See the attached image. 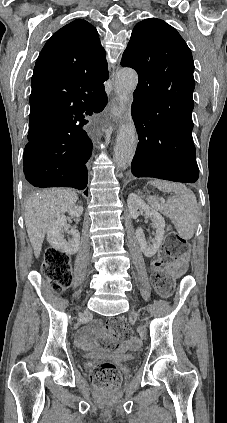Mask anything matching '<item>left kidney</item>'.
Segmentation results:
<instances>
[{
	"mask_svg": "<svg viewBox=\"0 0 227 423\" xmlns=\"http://www.w3.org/2000/svg\"><path fill=\"white\" fill-rule=\"evenodd\" d=\"M127 204L130 215L134 217V219L139 215L138 210H142L145 211V215L150 217L151 221H153V227H155L156 233L150 241H147L142 227H137L136 229V237L144 255H146V257H152V255H155L164 239L165 219L162 217L161 213L149 208L137 194H129Z\"/></svg>",
	"mask_w": 227,
	"mask_h": 423,
	"instance_id": "1",
	"label": "left kidney"
}]
</instances>
